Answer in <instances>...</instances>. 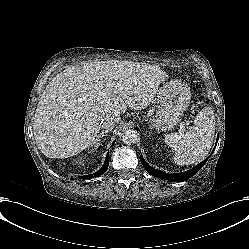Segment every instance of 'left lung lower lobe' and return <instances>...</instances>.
I'll use <instances>...</instances> for the list:
<instances>
[{
  "label": "left lung lower lobe",
  "instance_id": "0a47b994",
  "mask_svg": "<svg viewBox=\"0 0 249 249\" xmlns=\"http://www.w3.org/2000/svg\"><path fill=\"white\" fill-rule=\"evenodd\" d=\"M218 139H219V137H218ZM218 139H217V142H218ZM216 145H217V143H216ZM215 148H216V146H215ZM215 148H214V150H215ZM213 151H212V153H213ZM140 159H141V163H142L143 167L147 170V172L149 174H151V175H153L155 177H159L161 179L168 180L170 182H179V181L187 180L188 178L195 175L204 166V164L206 163L208 158L206 160H204L203 162L199 163L193 169H191L189 171H186V172H183V173H178V174H168V173L162 172L160 170H157L155 168H152L151 166H149L145 162L142 155H141Z\"/></svg>",
  "mask_w": 249,
  "mask_h": 249
}]
</instances>
